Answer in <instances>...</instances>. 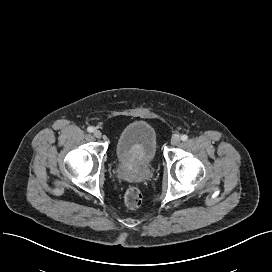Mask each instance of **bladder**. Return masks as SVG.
Returning <instances> with one entry per match:
<instances>
[{
  "label": "bladder",
  "mask_w": 272,
  "mask_h": 272,
  "mask_svg": "<svg viewBox=\"0 0 272 272\" xmlns=\"http://www.w3.org/2000/svg\"><path fill=\"white\" fill-rule=\"evenodd\" d=\"M157 145L158 137L154 127L145 120H136L120 132L115 153L122 163L147 165L154 160Z\"/></svg>",
  "instance_id": "bladder-1"
}]
</instances>
